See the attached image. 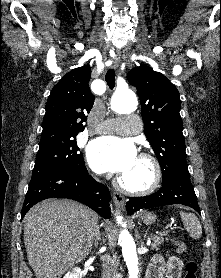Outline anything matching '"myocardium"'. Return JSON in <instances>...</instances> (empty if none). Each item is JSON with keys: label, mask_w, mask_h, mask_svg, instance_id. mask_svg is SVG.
Masks as SVG:
<instances>
[{"label": "myocardium", "mask_w": 221, "mask_h": 278, "mask_svg": "<svg viewBox=\"0 0 221 278\" xmlns=\"http://www.w3.org/2000/svg\"><path fill=\"white\" fill-rule=\"evenodd\" d=\"M138 157L147 160L153 169V179L150 182L149 185H147L144 188H132L128 187L123 183L120 177L116 178L115 180V186L123 193L128 194V195H136V196H141V195H149L155 192L162 181V168L160 165V162L156 157L151 155L150 153L147 152H141L139 153Z\"/></svg>", "instance_id": "myocardium-1"}]
</instances>
